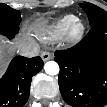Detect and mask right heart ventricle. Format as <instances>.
Instances as JSON below:
<instances>
[{
    "instance_id": "1",
    "label": "right heart ventricle",
    "mask_w": 107,
    "mask_h": 107,
    "mask_svg": "<svg viewBox=\"0 0 107 107\" xmlns=\"http://www.w3.org/2000/svg\"><path fill=\"white\" fill-rule=\"evenodd\" d=\"M75 18L76 17L74 15H65L59 18L40 34V38L44 42H54L60 40L65 36L69 25Z\"/></svg>"
}]
</instances>
